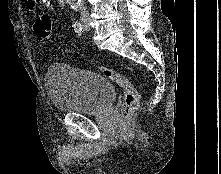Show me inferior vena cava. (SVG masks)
Wrapping results in <instances>:
<instances>
[{"label": "inferior vena cava", "instance_id": "1", "mask_svg": "<svg viewBox=\"0 0 221 174\" xmlns=\"http://www.w3.org/2000/svg\"><path fill=\"white\" fill-rule=\"evenodd\" d=\"M79 9H80L81 16L87 17L88 13H87L86 7L84 6L83 3H80Z\"/></svg>", "mask_w": 221, "mask_h": 174}]
</instances>
